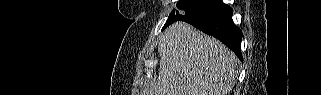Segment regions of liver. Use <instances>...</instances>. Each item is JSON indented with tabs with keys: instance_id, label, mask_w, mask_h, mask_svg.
<instances>
[{
	"instance_id": "1",
	"label": "liver",
	"mask_w": 321,
	"mask_h": 95,
	"mask_svg": "<svg viewBox=\"0 0 321 95\" xmlns=\"http://www.w3.org/2000/svg\"><path fill=\"white\" fill-rule=\"evenodd\" d=\"M158 52L157 81L143 95H227L235 85V54L185 22L165 30Z\"/></svg>"
}]
</instances>
